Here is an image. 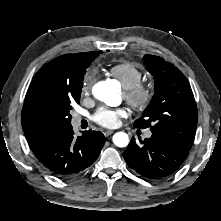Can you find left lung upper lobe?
I'll return each instance as SVG.
<instances>
[{
  "label": "left lung upper lobe",
  "instance_id": "obj_1",
  "mask_svg": "<svg viewBox=\"0 0 221 221\" xmlns=\"http://www.w3.org/2000/svg\"><path fill=\"white\" fill-rule=\"evenodd\" d=\"M147 70L155 80V93L136 128H147L153 134L190 150L195 138L198 112L190 84L183 73L163 58L146 54Z\"/></svg>",
  "mask_w": 221,
  "mask_h": 221
}]
</instances>
